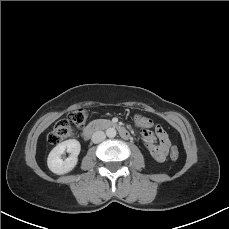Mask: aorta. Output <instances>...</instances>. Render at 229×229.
I'll use <instances>...</instances> for the list:
<instances>
[{
	"label": "aorta",
	"instance_id": "aorta-1",
	"mask_svg": "<svg viewBox=\"0 0 229 229\" xmlns=\"http://www.w3.org/2000/svg\"><path fill=\"white\" fill-rule=\"evenodd\" d=\"M116 134H117V132H116V129L115 128H108L106 130V135L109 138H114L116 136Z\"/></svg>",
	"mask_w": 229,
	"mask_h": 229
}]
</instances>
